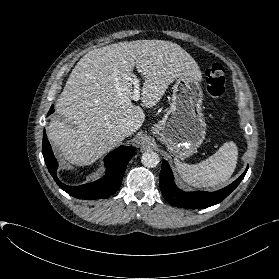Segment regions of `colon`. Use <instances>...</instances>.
<instances>
[{"mask_svg":"<svg viewBox=\"0 0 279 279\" xmlns=\"http://www.w3.org/2000/svg\"><path fill=\"white\" fill-rule=\"evenodd\" d=\"M207 91L214 99H219L225 91V70L219 63L210 65L205 70Z\"/></svg>","mask_w":279,"mask_h":279,"instance_id":"1","label":"colon"}]
</instances>
